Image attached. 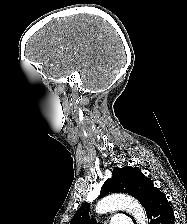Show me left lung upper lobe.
I'll return each mask as SVG.
<instances>
[{
    "instance_id": "1",
    "label": "left lung upper lobe",
    "mask_w": 187,
    "mask_h": 224,
    "mask_svg": "<svg viewBox=\"0 0 187 224\" xmlns=\"http://www.w3.org/2000/svg\"><path fill=\"white\" fill-rule=\"evenodd\" d=\"M157 188L152 180L133 167L114 168L111 179H108L101 188L100 197L111 193H126L135 197L140 204L147 208ZM90 204L82 205L71 219L70 224H95L89 217Z\"/></svg>"
}]
</instances>
